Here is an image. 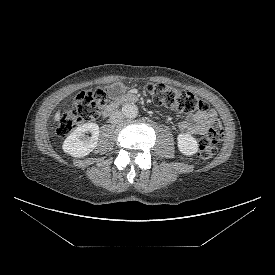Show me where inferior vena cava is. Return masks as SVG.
<instances>
[{
  "mask_svg": "<svg viewBox=\"0 0 275 275\" xmlns=\"http://www.w3.org/2000/svg\"><path fill=\"white\" fill-rule=\"evenodd\" d=\"M124 119L123 113L121 111H113L110 115L109 122L111 124H118Z\"/></svg>",
  "mask_w": 275,
  "mask_h": 275,
  "instance_id": "602c4592",
  "label": "inferior vena cava"
}]
</instances>
